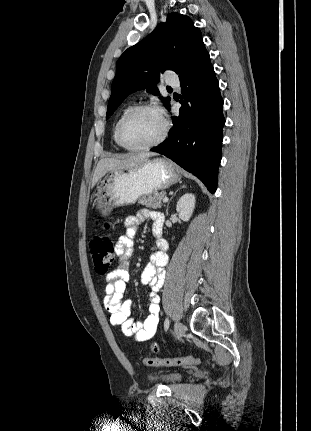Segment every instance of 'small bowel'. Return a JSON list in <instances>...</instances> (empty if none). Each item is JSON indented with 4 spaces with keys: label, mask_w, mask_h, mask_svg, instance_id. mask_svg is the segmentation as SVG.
Masks as SVG:
<instances>
[{
    "label": "small bowel",
    "mask_w": 311,
    "mask_h": 431,
    "mask_svg": "<svg viewBox=\"0 0 311 431\" xmlns=\"http://www.w3.org/2000/svg\"><path fill=\"white\" fill-rule=\"evenodd\" d=\"M147 220L152 221V234L156 238V247L151 252L149 262L141 275V282L150 287L149 315L140 322H134L130 317L132 302L123 299V294L130 279L128 265L134 237L138 226ZM163 226L164 215L158 211L142 209L135 215L127 217L123 224L124 234L115 245V253L119 258L118 266L106 277L103 304L110 313V323L119 327L125 336L134 337L139 342L152 338L158 327L160 311L158 293L165 278L164 267L168 263V242L162 237Z\"/></svg>",
    "instance_id": "c3829d8e"
}]
</instances>
